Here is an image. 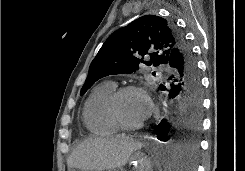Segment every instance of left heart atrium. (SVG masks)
Returning <instances> with one entry per match:
<instances>
[{"label":"left heart atrium","mask_w":245,"mask_h":171,"mask_svg":"<svg viewBox=\"0 0 245 171\" xmlns=\"http://www.w3.org/2000/svg\"><path fill=\"white\" fill-rule=\"evenodd\" d=\"M150 111H151V106L149 102H147L145 112H144V118H146L150 114Z\"/></svg>","instance_id":"obj_1"}]
</instances>
